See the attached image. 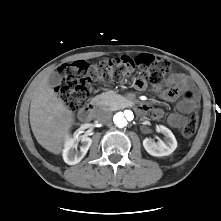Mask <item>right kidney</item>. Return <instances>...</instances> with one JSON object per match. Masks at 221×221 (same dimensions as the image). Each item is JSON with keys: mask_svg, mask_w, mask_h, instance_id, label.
<instances>
[{"mask_svg": "<svg viewBox=\"0 0 221 221\" xmlns=\"http://www.w3.org/2000/svg\"><path fill=\"white\" fill-rule=\"evenodd\" d=\"M79 141L82 146L80 150H77ZM92 144V139L86 135H74L73 137H66L65 147L63 149V159L65 163L69 165H75L79 163L86 155L89 147Z\"/></svg>", "mask_w": 221, "mask_h": 221, "instance_id": "right-kidney-1", "label": "right kidney"}]
</instances>
